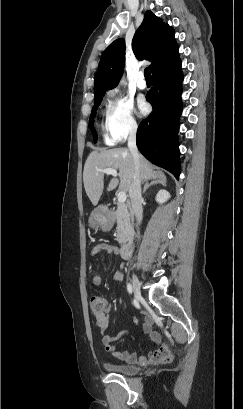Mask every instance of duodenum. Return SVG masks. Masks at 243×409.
<instances>
[{"label":"duodenum","mask_w":243,"mask_h":409,"mask_svg":"<svg viewBox=\"0 0 243 409\" xmlns=\"http://www.w3.org/2000/svg\"><path fill=\"white\" fill-rule=\"evenodd\" d=\"M132 251H133V246H132V244H124V245H122L121 248H120L121 257L124 258V259L130 258V257H131V254H132Z\"/></svg>","instance_id":"duodenum-1"}]
</instances>
